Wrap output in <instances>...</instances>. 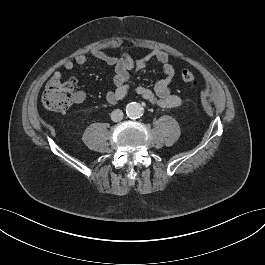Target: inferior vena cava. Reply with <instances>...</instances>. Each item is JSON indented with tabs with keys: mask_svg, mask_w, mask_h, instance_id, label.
<instances>
[{
	"mask_svg": "<svg viewBox=\"0 0 265 265\" xmlns=\"http://www.w3.org/2000/svg\"><path fill=\"white\" fill-rule=\"evenodd\" d=\"M123 116H124V114H123L122 110H120V109H115L111 113V119L114 122L121 121L123 119Z\"/></svg>",
	"mask_w": 265,
	"mask_h": 265,
	"instance_id": "1",
	"label": "inferior vena cava"
}]
</instances>
